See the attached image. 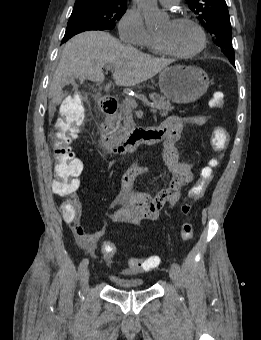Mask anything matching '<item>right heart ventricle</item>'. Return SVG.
Listing matches in <instances>:
<instances>
[{"label": "right heart ventricle", "instance_id": "right-heart-ventricle-1", "mask_svg": "<svg viewBox=\"0 0 261 340\" xmlns=\"http://www.w3.org/2000/svg\"><path fill=\"white\" fill-rule=\"evenodd\" d=\"M143 47L154 54L161 53V50L159 49L156 38L154 36H152V38Z\"/></svg>", "mask_w": 261, "mask_h": 340}]
</instances>
